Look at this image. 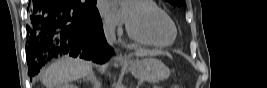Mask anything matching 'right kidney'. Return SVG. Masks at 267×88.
I'll return each instance as SVG.
<instances>
[{
    "instance_id": "obj_1",
    "label": "right kidney",
    "mask_w": 267,
    "mask_h": 88,
    "mask_svg": "<svg viewBox=\"0 0 267 88\" xmlns=\"http://www.w3.org/2000/svg\"><path fill=\"white\" fill-rule=\"evenodd\" d=\"M57 88H77V86L72 83H65V84L58 86Z\"/></svg>"
}]
</instances>
